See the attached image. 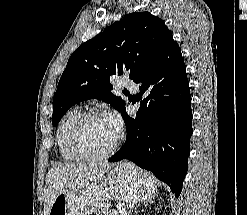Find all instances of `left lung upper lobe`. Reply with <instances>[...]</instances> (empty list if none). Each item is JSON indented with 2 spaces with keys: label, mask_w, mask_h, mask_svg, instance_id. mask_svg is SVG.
I'll list each match as a JSON object with an SVG mask.
<instances>
[{
  "label": "left lung upper lobe",
  "mask_w": 247,
  "mask_h": 215,
  "mask_svg": "<svg viewBox=\"0 0 247 215\" xmlns=\"http://www.w3.org/2000/svg\"><path fill=\"white\" fill-rule=\"evenodd\" d=\"M164 21L149 12L130 13L71 55L53 99L56 126L76 103L91 98L123 112L125 101L111 93L110 76L129 73L133 81L162 53L172 38Z\"/></svg>",
  "instance_id": "1"
}]
</instances>
